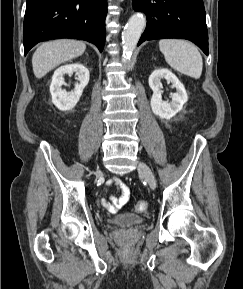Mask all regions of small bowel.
<instances>
[{
  "mask_svg": "<svg viewBox=\"0 0 243 289\" xmlns=\"http://www.w3.org/2000/svg\"><path fill=\"white\" fill-rule=\"evenodd\" d=\"M109 185L116 188L118 195H111L109 199H103L101 204L109 212H117L128 201L129 189L127 185L119 178L114 177L110 180Z\"/></svg>",
  "mask_w": 243,
  "mask_h": 289,
  "instance_id": "c3829d8e",
  "label": "small bowel"
}]
</instances>
